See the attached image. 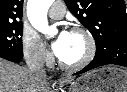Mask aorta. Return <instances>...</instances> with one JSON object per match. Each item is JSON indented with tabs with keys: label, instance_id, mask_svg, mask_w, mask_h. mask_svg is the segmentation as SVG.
<instances>
[{
	"label": "aorta",
	"instance_id": "aorta-1",
	"mask_svg": "<svg viewBox=\"0 0 127 92\" xmlns=\"http://www.w3.org/2000/svg\"><path fill=\"white\" fill-rule=\"evenodd\" d=\"M53 0H28L27 16L31 25L45 35H53L56 27L49 26L47 12Z\"/></svg>",
	"mask_w": 127,
	"mask_h": 92
}]
</instances>
